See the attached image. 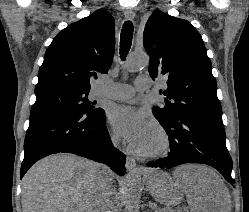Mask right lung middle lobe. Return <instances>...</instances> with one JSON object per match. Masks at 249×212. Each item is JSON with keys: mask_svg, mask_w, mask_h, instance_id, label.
Returning a JSON list of instances; mask_svg holds the SVG:
<instances>
[{"mask_svg": "<svg viewBox=\"0 0 249 212\" xmlns=\"http://www.w3.org/2000/svg\"><path fill=\"white\" fill-rule=\"evenodd\" d=\"M89 92L80 91H54L36 96V101L31 112L37 110H68L83 113L85 115H96L101 111L94 107L93 102L88 100Z\"/></svg>", "mask_w": 249, "mask_h": 212, "instance_id": "dd1d6c3e", "label": "right lung middle lobe"}]
</instances>
